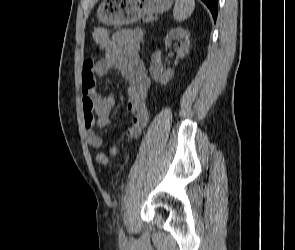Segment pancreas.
I'll return each mask as SVG.
<instances>
[{
  "instance_id": "cf45deb5",
  "label": "pancreas",
  "mask_w": 295,
  "mask_h": 250,
  "mask_svg": "<svg viewBox=\"0 0 295 250\" xmlns=\"http://www.w3.org/2000/svg\"><path fill=\"white\" fill-rule=\"evenodd\" d=\"M151 20H152V17L151 16H147V17L143 18V22L144 23H147V22H149Z\"/></svg>"
}]
</instances>
